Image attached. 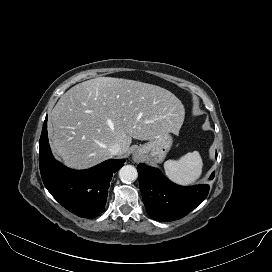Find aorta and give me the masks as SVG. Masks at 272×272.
<instances>
[{"label":"aorta","mask_w":272,"mask_h":272,"mask_svg":"<svg viewBox=\"0 0 272 272\" xmlns=\"http://www.w3.org/2000/svg\"><path fill=\"white\" fill-rule=\"evenodd\" d=\"M138 177L137 170L132 165H125L119 170V178L124 183H131Z\"/></svg>","instance_id":"1"}]
</instances>
